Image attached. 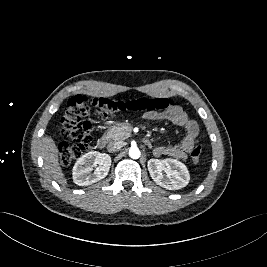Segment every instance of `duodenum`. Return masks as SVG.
Listing matches in <instances>:
<instances>
[{
  "instance_id": "410a0bca",
  "label": "duodenum",
  "mask_w": 267,
  "mask_h": 267,
  "mask_svg": "<svg viewBox=\"0 0 267 267\" xmlns=\"http://www.w3.org/2000/svg\"><path fill=\"white\" fill-rule=\"evenodd\" d=\"M108 142L109 140L107 137H102L101 139H99L97 145L100 149H104L107 146ZM144 142H147V138L144 139Z\"/></svg>"
}]
</instances>
